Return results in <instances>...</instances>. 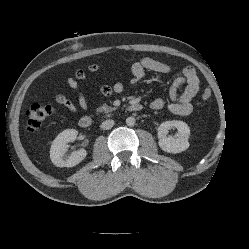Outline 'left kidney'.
<instances>
[{"mask_svg": "<svg viewBox=\"0 0 249 249\" xmlns=\"http://www.w3.org/2000/svg\"><path fill=\"white\" fill-rule=\"evenodd\" d=\"M171 128L178 130L176 138L167 136L168 130ZM189 135L190 129L185 122L177 120L163 122L158 128L159 147L168 153H180L188 149Z\"/></svg>", "mask_w": 249, "mask_h": 249, "instance_id": "1", "label": "left kidney"}]
</instances>
